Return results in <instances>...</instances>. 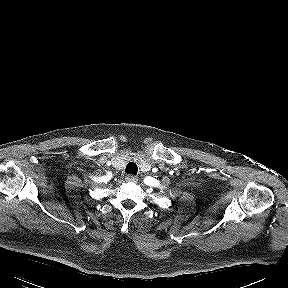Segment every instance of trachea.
<instances>
[{
  "mask_svg": "<svg viewBox=\"0 0 288 288\" xmlns=\"http://www.w3.org/2000/svg\"><path fill=\"white\" fill-rule=\"evenodd\" d=\"M127 174L136 175L138 171V166L135 162H129L125 169Z\"/></svg>",
  "mask_w": 288,
  "mask_h": 288,
  "instance_id": "3493384b",
  "label": "trachea"
}]
</instances>
